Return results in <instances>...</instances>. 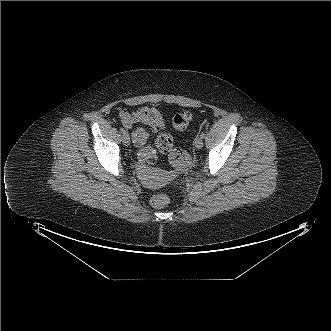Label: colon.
<instances>
[{"label": "colon", "instance_id": "colon-1", "mask_svg": "<svg viewBox=\"0 0 331 331\" xmlns=\"http://www.w3.org/2000/svg\"><path fill=\"white\" fill-rule=\"evenodd\" d=\"M143 124L151 130L158 132L156 136V146L162 153L169 156L170 163L176 168H185L191 163V156L184 150L173 147L172 136L161 131L164 124L162 114L155 108H147L142 115ZM192 120L191 112L182 110L176 113L172 118V125L177 131H184ZM141 134H145L144 129H140ZM170 201L169 194L161 192L154 195L150 203L154 208H163Z\"/></svg>", "mask_w": 331, "mask_h": 331}]
</instances>
